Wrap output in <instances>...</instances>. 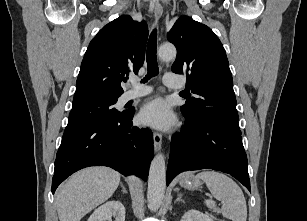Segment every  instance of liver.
<instances>
[{
	"label": "liver",
	"instance_id": "obj_1",
	"mask_svg": "<svg viewBox=\"0 0 307 221\" xmlns=\"http://www.w3.org/2000/svg\"><path fill=\"white\" fill-rule=\"evenodd\" d=\"M120 176L108 167H90L73 174L57 190L59 220L80 221L113 195L119 186Z\"/></svg>",
	"mask_w": 307,
	"mask_h": 221
}]
</instances>
